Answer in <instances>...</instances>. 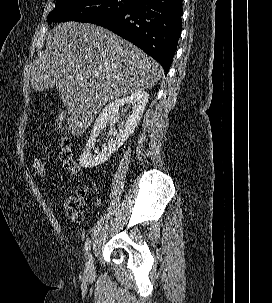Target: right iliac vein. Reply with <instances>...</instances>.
<instances>
[{"mask_svg":"<svg viewBox=\"0 0 272 303\" xmlns=\"http://www.w3.org/2000/svg\"><path fill=\"white\" fill-rule=\"evenodd\" d=\"M84 274H85V277L89 280H92L95 277L94 258L91 253L88 256Z\"/></svg>","mask_w":272,"mask_h":303,"instance_id":"1","label":"right iliac vein"}]
</instances>
